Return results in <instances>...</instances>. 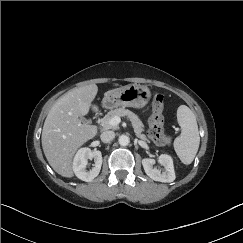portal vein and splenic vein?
<instances>
[{"mask_svg": "<svg viewBox=\"0 0 243 243\" xmlns=\"http://www.w3.org/2000/svg\"><path fill=\"white\" fill-rule=\"evenodd\" d=\"M120 122H121V118L119 116H114L109 120V124L113 126L118 125Z\"/></svg>", "mask_w": 243, "mask_h": 243, "instance_id": "obj_1", "label": "portal vein and splenic vein"}]
</instances>
